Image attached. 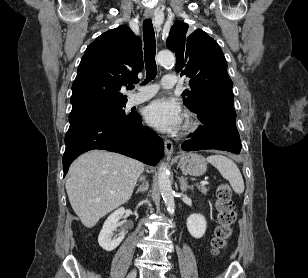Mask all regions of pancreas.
<instances>
[{
  "mask_svg": "<svg viewBox=\"0 0 308 278\" xmlns=\"http://www.w3.org/2000/svg\"><path fill=\"white\" fill-rule=\"evenodd\" d=\"M197 188L201 191L202 194H206L208 189L204 185H199Z\"/></svg>",
  "mask_w": 308,
  "mask_h": 278,
  "instance_id": "pancreas-1",
  "label": "pancreas"
}]
</instances>
